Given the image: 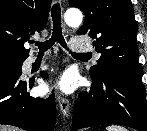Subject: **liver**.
I'll return each mask as SVG.
<instances>
[{
  "label": "liver",
  "mask_w": 147,
  "mask_h": 131,
  "mask_svg": "<svg viewBox=\"0 0 147 131\" xmlns=\"http://www.w3.org/2000/svg\"><path fill=\"white\" fill-rule=\"evenodd\" d=\"M0 131H21V130L11 126L0 125Z\"/></svg>",
  "instance_id": "obj_1"
}]
</instances>
